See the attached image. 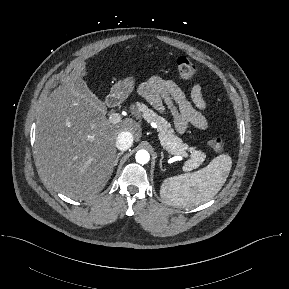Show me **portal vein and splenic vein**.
<instances>
[{"label": "portal vein and splenic vein", "instance_id": "obj_1", "mask_svg": "<svg viewBox=\"0 0 289 289\" xmlns=\"http://www.w3.org/2000/svg\"><path fill=\"white\" fill-rule=\"evenodd\" d=\"M121 118L122 117H121V115L119 113H112L109 116V121L112 124H117V123L121 122ZM165 150H167L171 154L180 155L181 157H187L188 156V154L186 152L172 151V150H168V149H165Z\"/></svg>", "mask_w": 289, "mask_h": 289}]
</instances>
